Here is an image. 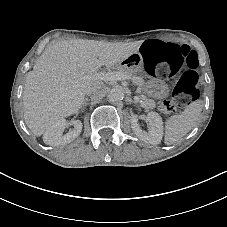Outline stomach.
Instances as JSON below:
<instances>
[{
  "mask_svg": "<svg viewBox=\"0 0 227 227\" xmlns=\"http://www.w3.org/2000/svg\"><path fill=\"white\" fill-rule=\"evenodd\" d=\"M143 90L146 92V88H143Z\"/></svg>",
  "mask_w": 227,
  "mask_h": 227,
  "instance_id": "obj_1",
  "label": "stomach"
}]
</instances>
